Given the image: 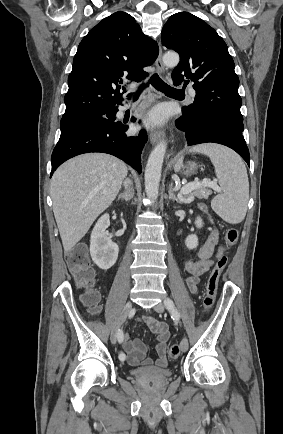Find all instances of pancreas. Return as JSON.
<instances>
[{
	"label": "pancreas",
	"mask_w": 283,
	"mask_h": 434,
	"mask_svg": "<svg viewBox=\"0 0 283 434\" xmlns=\"http://www.w3.org/2000/svg\"><path fill=\"white\" fill-rule=\"evenodd\" d=\"M211 193L212 191L210 189L202 185L194 189V191L191 192L188 196H196L199 199H207Z\"/></svg>",
	"instance_id": "cf45deb5"
}]
</instances>
